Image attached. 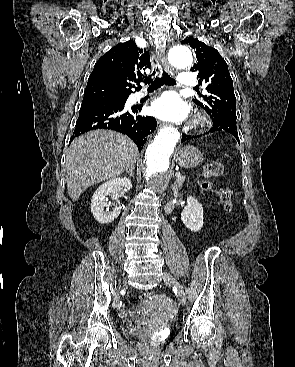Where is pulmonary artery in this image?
<instances>
[{"label": "pulmonary artery", "instance_id": "obj_1", "mask_svg": "<svg viewBox=\"0 0 295 367\" xmlns=\"http://www.w3.org/2000/svg\"><path fill=\"white\" fill-rule=\"evenodd\" d=\"M179 83L184 87L192 88V87L197 86L198 81L192 73L182 72L179 75ZM143 96H144V93H139V94L136 95V99H140Z\"/></svg>", "mask_w": 295, "mask_h": 367}]
</instances>
